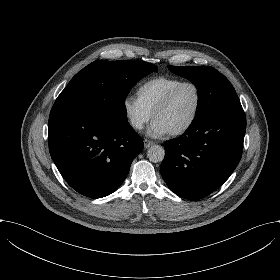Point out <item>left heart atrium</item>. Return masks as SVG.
Here are the masks:
<instances>
[{"mask_svg":"<svg viewBox=\"0 0 280 280\" xmlns=\"http://www.w3.org/2000/svg\"><path fill=\"white\" fill-rule=\"evenodd\" d=\"M171 133L169 126L161 119L155 118L151 123L147 135L152 138H160Z\"/></svg>","mask_w":280,"mask_h":280,"instance_id":"39dd6f15","label":"left heart atrium"}]
</instances>
